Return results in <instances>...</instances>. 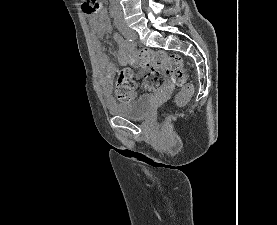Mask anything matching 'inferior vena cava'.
Returning a JSON list of instances; mask_svg holds the SVG:
<instances>
[{
  "label": "inferior vena cava",
  "instance_id": "obj_1",
  "mask_svg": "<svg viewBox=\"0 0 277 225\" xmlns=\"http://www.w3.org/2000/svg\"><path fill=\"white\" fill-rule=\"evenodd\" d=\"M112 1H113V3H114L117 7H119V5H118V0H112ZM120 19H121L122 21H124V20H123V15H122L121 12L117 15L116 20H115V23L117 24L118 21H119Z\"/></svg>",
  "mask_w": 277,
  "mask_h": 225
}]
</instances>
